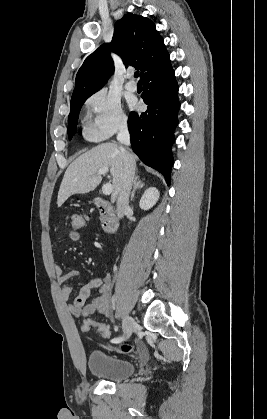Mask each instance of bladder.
Returning <instances> with one entry per match:
<instances>
[{"label":"bladder","mask_w":267,"mask_h":419,"mask_svg":"<svg viewBox=\"0 0 267 419\" xmlns=\"http://www.w3.org/2000/svg\"><path fill=\"white\" fill-rule=\"evenodd\" d=\"M90 373L107 381H121L135 372V365L126 359L109 355L101 350H93L87 361Z\"/></svg>","instance_id":"1"}]
</instances>
